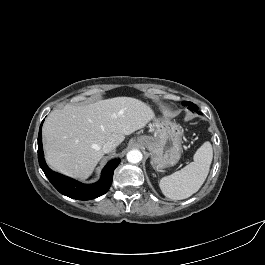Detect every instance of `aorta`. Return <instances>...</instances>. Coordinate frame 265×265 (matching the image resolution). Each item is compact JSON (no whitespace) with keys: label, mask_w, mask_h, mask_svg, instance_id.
<instances>
[{"label":"aorta","mask_w":265,"mask_h":265,"mask_svg":"<svg viewBox=\"0 0 265 265\" xmlns=\"http://www.w3.org/2000/svg\"><path fill=\"white\" fill-rule=\"evenodd\" d=\"M143 158L142 153L139 150H131L127 153V160L130 163L136 164Z\"/></svg>","instance_id":"762f6f07"}]
</instances>
